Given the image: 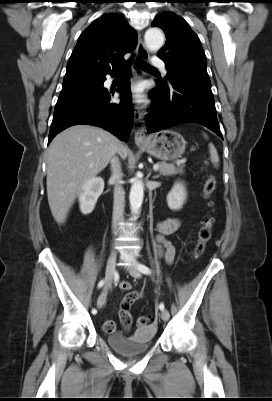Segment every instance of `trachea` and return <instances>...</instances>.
Returning <instances> with one entry per match:
<instances>
[{
	"label": "trachea",
	"mask_w": 272,
	"mask_h": 401,
	"mask_svg": "<svg viewBox=\"0 0 272 401\" xmlns=\"http://www.w3.org/2000/svg\"><path fill=\"white\" fill-rule=\"evenodd\" d=\"M132 60H133V58H131L128 61L127 65L124 68L121 69V71H120L121 73H126L128 71L129 66L132 63ZM137 63H138V65L140 66V68L142 70H145V71H156V69L154 67H152L150 64H148L147 62H145V61H143L141 59H137Z\"/></svg>",
	"instance_id": "obj_1"
}]
</instances>
